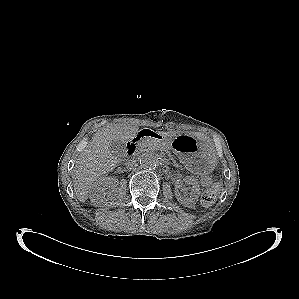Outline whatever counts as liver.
Segmentation results:
<instances>
[{
	"instance_id": "liver-1",
	"label": "liver",
	"mask_w": 299,
	"mask_h": 299,
	"mask_svg": "<svg viewBox=\"0 0 299 299\" xmlns=\"http://www.w3.org/2000/svg\"><path fill=\"white\" fill-rule=\"evenodd\" d=\"M137 133V125L120 124L103 128L92 136L72 170L74 192L80 202L88 199L90 189L100 177L116 167L118 160L110 151L111 143L121 141L125 144ZM161 135L168 134L162 132Z\"/></svg>"
}]
</instances>
